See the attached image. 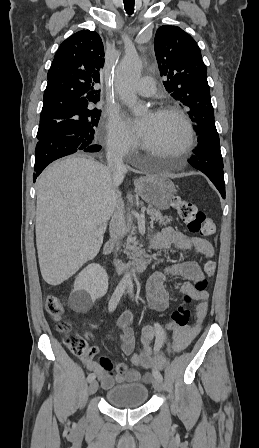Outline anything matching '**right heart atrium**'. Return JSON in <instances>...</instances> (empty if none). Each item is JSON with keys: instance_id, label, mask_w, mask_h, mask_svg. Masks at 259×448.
Returning a JSON list of instances; mask_svg holds the SVG:
<instances>
[{"instance_id": "d8ad5b80", "label": "right heart atrium", "mask_w": 259, "mask_h": 448, "mask_svg": "<svg viewBox=\"0 0 259 448\" xmlns=\"http://www.w3.org/2000/svg\"><path fill=\"white\" fill-rule=\"evenodd\" d=\"M102 142L105 150L118 157L128 155L138 147V139L117 112H112L104 125Z\"/></svg>"}]
</instances>
